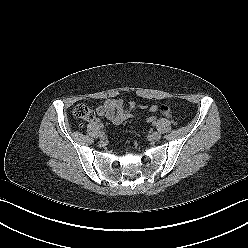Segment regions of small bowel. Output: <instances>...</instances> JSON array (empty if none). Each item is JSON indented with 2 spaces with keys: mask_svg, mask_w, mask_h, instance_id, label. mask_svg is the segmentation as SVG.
<instances>
[{
  "mask_svg": "<svg viewBox=\"0 0 248 248\" xmlns=\"http://www.w3.org/2000/svg\"><path fill=\"white\" fill-rule=\"evenodd\" d=\"M144 110L150 113L159 112L165 117H170L172 114L171 108L168 105H141L137 106L134 102L125 105L121 99H108L103 104L96 107V113L99 116L106 117L114 124H121L124 121L133 118L137 110Z\"/></svg>",
  "mask_w": 248,
  "mask_h": 248,
  "instance_id": "small-bowel-1",
  "label": "small bowel"
}]
</instances>
